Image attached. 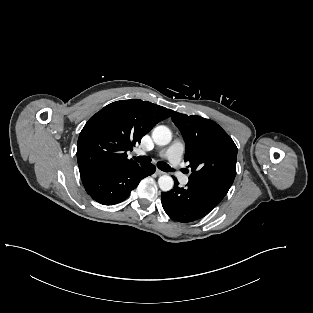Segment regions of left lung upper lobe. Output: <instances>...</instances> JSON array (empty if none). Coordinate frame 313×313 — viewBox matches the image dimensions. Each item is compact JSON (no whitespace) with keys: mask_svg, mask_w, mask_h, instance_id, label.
I'll list each match as a JSON object with an SVG mask.
<instances>
[{"mask_svg":"<svg viewBox=\"0 0 313 313\" xmlns=\"http://www.w3.org/2000/svg\"><path fill=\"white\" fill-rule=\"evenodd\" d=\"M171 118L185 141L184 159L192 170L188 183L224 198L236 175L235 143L212 120L172 110Z\"/></svg>","mask_w":313,"mask_h":313,"instance_id":"5c2ea615","label":"left lung upper lobe"}]
</instances>
